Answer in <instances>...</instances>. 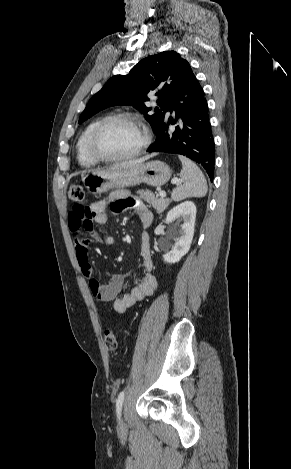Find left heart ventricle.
Returning a JSON list of instances; mask_svg holds the SVG:
<instances>
[{
  "label": "left heart ventricle",
  "mask_w": 291,
  "mask_h": 469,
  "mask_svg": "<svg viewBox=\"0 0 291 469\" xmlns=\"http://www.w3.org/2000/svg\"><path fill=\"white\" fill-rule=\"evenodd\" d=\"M143 138V132L138 127L118 121L105 128L100 136L99 146L107 156H123L136 150Z\"/></svg>",
  "instance_id": "left-heart-ventricle-1"
}]
</instances>
